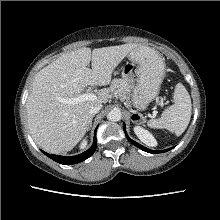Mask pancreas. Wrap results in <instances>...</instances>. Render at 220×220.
Masks as SVG:
<instances>
[{"label":"pancreas","mask_w":220,"mask_h":220,"mask_svg":"<svg viewBox=\"0 0 220 220\" xmlns=\"http://www.w3.org/2000/svg\"><path fill=\"white\" fill-rule=\"evenodd\" d=\"M130 89L131 85L125 79H115L110 86V92L118 94L122 101L127 98Z\"/></svg>","instance_id":"obj_1"}]
</instances>
